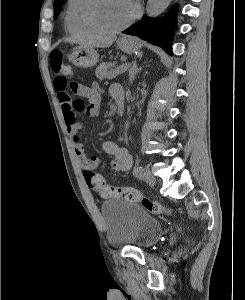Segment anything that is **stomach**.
Returning <instances> with one entry per match:
<instances>
[{"instance_id":"1","label":"stomach","mask_w":245,"mask_h":300,"mask_svg":"<svg viewBox=\"0 0 245 300\" xmlns=\"http://www.w3.org/2000/svg\"><path fill=\"white\" fill-rule=\"evenodd\" d=\"M118 47L125 53L138 51L142 44L134 37L124 36L118 40ZM99 55L94 48L77 47L71 53V60L76 66L93 67L98 62Z\"/></svg>"}]
</instances>
